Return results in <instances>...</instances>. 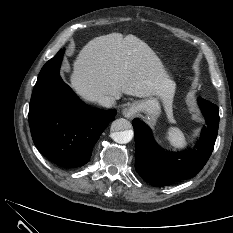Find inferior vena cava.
Wrapping results in <instances>:
<instances>
[{
	"mask_svg": "<svg viewBox=\"0 0 233 233\" xmlns=\"http://www.w3.org/2000/svg\"><path fill=\"white\" fill-rule=\"evenodd\" d=\"M98 103L109 108L115 105V98L111 96H102L99 98Z\"/></svg>",
	"mask_w": 233,
	"mask_h": 233,
	"instance_id": "inferior-vena-cava-1",
	"label": "inferior vena cava"
}]
</instances>
